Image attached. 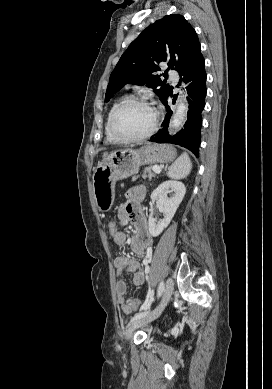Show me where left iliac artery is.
<instances>
[{"label": "left iliac artery", "mask_w": 272, "mask_h": 389, "mask_svg": "<svg viewBox=\"0 0 272 389\" xmlns=\"http://www.w3.org/2000/svg\"><path fill=\"white\" fill-rule=\"evenodd\" d=\"M164 291V282H160L159 284V287H158V290H157V296L160 297L162 292ZM153 290L149 289V293H148V300L151 302L153 301ZM148 308V305L145 306V309ZM148 313V311H145V312H141V313H137L131 320L134 321V320H137L139 318H141L142 316L146 315Z\"/></svg>", "instance_id": "left-iliac-artery-1"}]
</instances>
